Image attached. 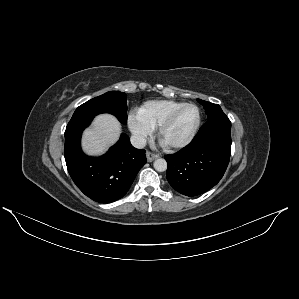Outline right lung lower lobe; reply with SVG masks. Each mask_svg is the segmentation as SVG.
Listing matches in <instances>:
<instances>
[{
	"instance_id": "right-lung-lower-lobe-1",
	"label": "right lung lower lobe",
	"mask_w": 299,
	"mask_h": 299,
	"mask_svg": "<svg viewBox=\"0 0 299 299\" xmlns=\"http://www.w3.org/2000/svg\"><path fill=\"white\" fill-rule=\"evenodd\" d=\"M94 117L71 118L65 131V161L76 186L89 198L110 203L122 198L146 163L145 150L134 148L126 134L100 157H88L80 146L83 130Z\"/></svg>"
}]
</instances>
